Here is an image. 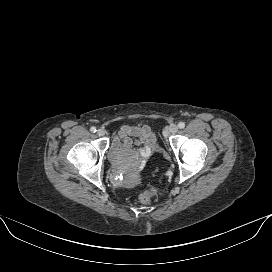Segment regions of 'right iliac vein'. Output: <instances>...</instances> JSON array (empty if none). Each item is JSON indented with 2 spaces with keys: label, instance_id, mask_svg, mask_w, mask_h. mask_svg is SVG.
Wrapping results in <instances>:
<instances>
[{
  "label": "right iliac vein",
  "instance_id": "right-iliac-vein-1",
  "mask_svg": "<svg viewBox=\"0 0 272 272\" xmlns=\"http://www.w3.org/2000/svg\"><path fill=\"white\" fill-rule=\"evenodd\" d=\"M97 135L98 136H103V135H105V131L103 129H98L97 130Z\"/></svg>",
  "mask_w": 272,
  "mask_h": 272
}]
</instances>
